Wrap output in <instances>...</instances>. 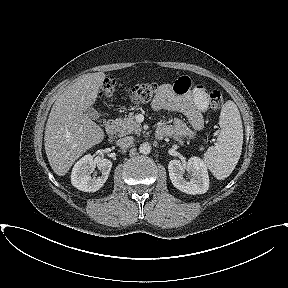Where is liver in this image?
I'll return each instance as SVG.
<instances>
[{
	"label": "liver",
	"mask_w": 288,
	"mask_h": 288,
	"mask_svg": "<svg viewBox=\"0 0 288 288\" xmlns=\"http://www.w3.org/2000/svg\"><path fill=\"white\" fill-rule=\"evenodd\" d=\"M103 72L79 77L61 93L47 120L44 146L53 171L65 175L73 163L104 139L103 129L85 113L97 99Z\"/></svg>",
	"instance_id": "obj_1"
}]
</instances>
